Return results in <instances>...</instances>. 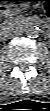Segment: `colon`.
I'll use <instances>...</instances> for the list:
<instances>
[{"label":"colon","instance_id":"1","mask_svg":"<svg viewBox=\"0 0 50 111\" xmlns=\"http://www.w3.org/2000/svg\"><path fill=\"white\" fill-rule=\"evenodd\" d=\"M43 9L46 13H49L50 12V3L49 2H45L43 4Z\"/></svg>","mask_w":50,"mask_h":111}]
</instances>
